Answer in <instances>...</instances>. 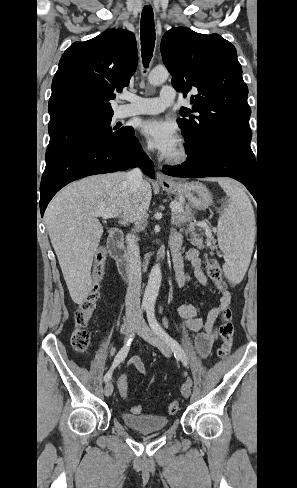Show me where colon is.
<instances>
[{
  "instance_id": "1",
  "label": "colon",
  "mask_w": 297,
  "mask_h": 488,
  "mask_svg": "<svg viewBox=\"0 0 297 488\" xmlns=\"http://www.w3.org/2000/svg\"><path fill=\"white\" fill-rule=\"evenodd\" d=\"M106 258L107 250L105 247H100L95 254L91 286L74 315L75 329L71 337V345L74 351L77 353H84L90 343V335L87 331V325L96 309L97 302L100 297L101 283L105 273ZM204 264L209 278L214 282L216 287L221 290L225 289L226 284L222 278V270L216 258L211 255H206ZM231 315L230 309H226L221 313V324L219 327L221 346L218 350V356L220 358L227 357L231 350L234 334ZM119 380L120 381L117 383V394L118 396L122 397L123 401H126L127 396L129 395V390L127 389L128 377L127 375L122 374L120 375ZM178 410V402L173 401L169 403L167 412L170 415L177 413ZM141 411L142 407L140 405L131 407V412L134 414H139Z\"/></svg>"
}]
</instances>
